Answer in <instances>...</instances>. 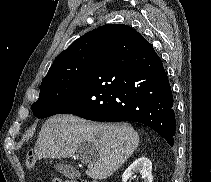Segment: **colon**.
I'll return each mask as SVG.
<instances>
[{"label":"colon","mask_w":211,"mask_h":182,"mask_svg":"<svg viewBox=\"0 0 211 182\" xmlns=\"http://www.w3.org/2000/svg\"><path fill=\"white\" fill-rule=\"evenodd\" d=\"M25 162H26V166L28 167V169H34L35 165H36V157L34 155L33 152H29L26 156V159H25ZM53 182H90L88 180H61V179H54Z\"/></svg>","instance_id":"5ec220e1"}]
</instances>
